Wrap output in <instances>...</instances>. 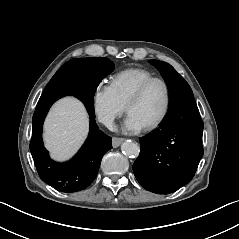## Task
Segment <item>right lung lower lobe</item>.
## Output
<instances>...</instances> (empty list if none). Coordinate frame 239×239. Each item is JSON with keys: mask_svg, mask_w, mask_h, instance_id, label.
Segmentation results:
<instances>
[{"mask_svg": "<svg viewBox=\"0 0 239 239\" xmlns=\"http://www.w3.org/2000/svg\"><path fill=\"white\" fill-rule=\"evenodd\" d=\"M78 85L40 98L33 115L30 151L40 178L58 191L72 193L87 188L95 179L103 155L112 148L111 138L100 131L95 123L94 93L108 74L99 71L91 62L70 68ZM73 95L79 98L90 116L89 136L73 159L65 163L50 159L43 146L42 126L51 105L59 98Z\"/></svg>", "mask_w": 239, "mask_h": 239, "instance_id": "obj_1", "label": "right lung lower lobe"}]
</instances>
